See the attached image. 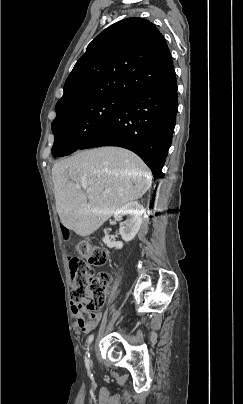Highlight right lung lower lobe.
<instances>
[{
	"label": "right lung lower lobe",
	"instance_id": "obj_1",
	"mask_svg": "<svg viewBox=\"0 0 243 404\" xmlns=\"http://www.w3.org/2000/svg\"><path fill=\"white\" fill-rule=\"evenodd\" d=\"M172 60V58H171ZM178 110L175 70L128 96L113 117L79 149L119 146L135 152L162 177Z\"/></svg>",
	"mask_w": 243,
	"mask_h": 404
}]
</instances>
